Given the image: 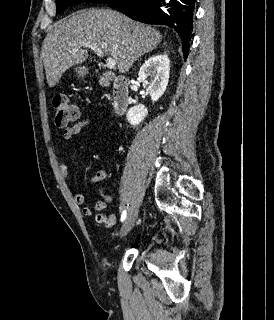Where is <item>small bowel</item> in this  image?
Here are the masks:
<instances>
[{"label": "small bowel", "instance_id": "small-bowel-1", "mask_svg": "<svg viewBox=\"0 0 274 320\" xmlns=\"http://www.w3.org/2000/svg\"><path fill=\"white\" fill-rule=\"evenodd\" d=\"M90 125V120L88 119H77L75 123L71 126H69L67 129L63 132V138L66 141L71 140L73 137L77 136L81 133L83 129L88 127ZM59 172L63 178V180L66 183H69L70 181V175H69V169L67 164L64 161L59 162ZM109 175L108 170L101 169L97 171L94 175L90 176L88 178V182L91 184L101 182L105 180ZM73 199L75 204L82 206V214L84 216H91L95 210L101 211L106 208V203L102 200L97 201L94 206L85 205V196L81 192H75L73 195ZM96 221L98 223L104 224L107 227L113 226L115 223V216L114 215H108L99 213L96 215Z\"/></svg>", "mask_w": 274, "mask_h": 320}]
</instances>
